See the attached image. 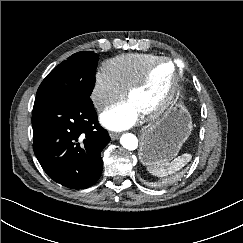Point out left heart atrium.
I'll return each instance as SVG.
<instances>
[{
	"label": "left heart atrium",
	"instance_id": "39dd6f15",
	"mask_svg": "<svg viewBox=\"0 0 243 243\" xmlns=\"http://www.w3.org/2000/svg\"><path fill=\"white\" fill-rule=\"evenodd\" d=\"M140 111L128 100L118 103L101 114L103 125L112 130H122L132 126Z\"/></svg>",
	"mask_w": 243,
	"mask_h": 243
}]
</instances>
